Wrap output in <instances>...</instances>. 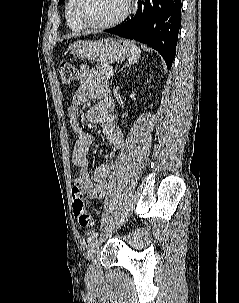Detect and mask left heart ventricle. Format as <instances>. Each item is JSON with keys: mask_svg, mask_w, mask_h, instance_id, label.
Instances as JSON below:
<instances>
[{"mask_svg": "<svg viewBox=\"0 0 239 303\" xmlns=\"http://www.w3.org/2000/svg\"><path fill=\"white\" fill-rule=\"evenodd\" d=\"M127 0H86L84 13L94 23L116 19L126 8Z\"/></svg>", "mask_w": 239, "mask_h": 303, "instance_id": "left-heart-ventricle-1", "label": "left heart ventricle"}]
</instances>
